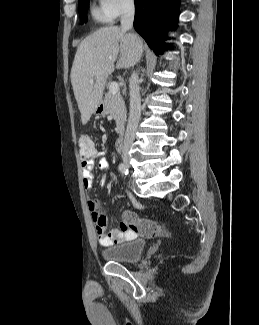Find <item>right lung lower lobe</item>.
Here are the masks:
<instances>
[{
	"instance_id": "1",
	"label": "right lung lower lobe",
	"mask_w": 259,
	"mask_h": 325,
	"mask_svg": "<svg viewBox=\"0 0 259 325\" xmlns=\"http://www.w3.org/2000/svg\"><path fill=\"white\" fill-rule=\"evenodd\" d=\"M179 0H135V30L156 55L166 47L167 30L176 29Z\"/></svg>"
}]
</instances>
